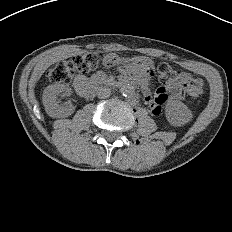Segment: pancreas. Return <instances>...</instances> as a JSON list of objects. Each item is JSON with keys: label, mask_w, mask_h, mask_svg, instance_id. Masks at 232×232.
Here are the masks:
<instances>
[{"label": "pancreas", "mask_w": 232, "mask_h": 232, "mask_svg": "<svg viewBox=\"0 0 232 232\" xmlns=\"http://www.w3.org/2000/svg\"><path fill=\"white\" fill-rule=\"evenodd\" d=\"M102 77H104L103 75H99L97 77L94 78L95 82H99L98 80L102 79ZM105 78V77H104Z\"/></svg>", "instance_id": "obj_1"}]
</instances>
